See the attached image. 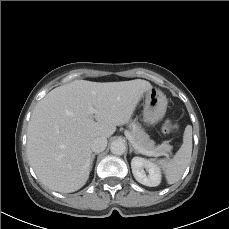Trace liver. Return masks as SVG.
<instances>
[{
  "mask_svg": "<svg viewBox=\"0 0 229 229\" xmlns=\"http://www.w3.org/2000/svg\"><path fill=\"white\" fill-rule=\"evenodd\" d=\"M151 89L148 81L135 79L75 80L51 90L38 102L28 124L27 155L38 179L62 193L83 187L91 170L93 139H107L116 126L128 123ZM91 107L97 112L90 114Z\"/></svg>",
  "mask_w": 229,
  "mask_h": 229,
  "instance_id": "6515ba94",
  "label": "liver"
}]
</instances>
